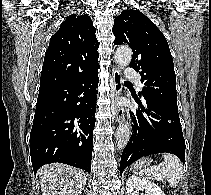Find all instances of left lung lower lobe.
<instances>
[{
    "mask_svg": "<svg viewBox=\"0 0 211 195\" xmlns=\"http://www.w3.org/2000/svg\"><path fill=\"white\" fill-rule=\"evenodd\" d=\"M134 99L139 105V126L135 120L121 156L120 174L139 158L156 153H172L184 162L186 146L178 110L151 99L141 101L136 95Z\"/></svg>",
    "mask_w": 211,
    "mask_h": 195,
    "instance_id": "left-lung-lower-lobe-1",
    "label": "left lung lower lobe"
}]
</instances>
